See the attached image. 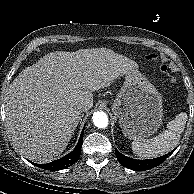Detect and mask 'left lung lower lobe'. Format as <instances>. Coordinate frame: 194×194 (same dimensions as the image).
Returning a JSON list of instances; mask_svg holds the SVG:
<instances>
[{
    "instance_id": "left-lung-lower-lobe-1",
    "label": "left lung lower lobe",
    "mask_w": 194,
    "mask_h": 194,
    "mask_svg": "<svg viewBox=\"0 0 194 194\" xmlns=\"http://www.w3.org/2000/svg\"><path fill=\"white\" fill-rule=\"evenodd\" d=\"M173 152L174 150L172 152H169L168 154H165L161 157L154 158V159L136 160L121 154L120 152H118V150L115 151L116 157L118 161L121 163V165L134 171H144V170L152 169L160 165Z\"/></svg>"
}]
</instances>
